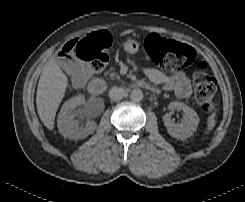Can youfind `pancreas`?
<instances>
[{
    "mask_svg": "<svg viewBox=\"0 0 245 202\" xmlns=\"http://www.w3.org/2000/svg\"><path fill=\"white\" fill-rule=\"evenodd\" d=\"M108 75H110V77L112 79H120V76L117 73H110L109 71L107 72Z\"/></svg>",
    "mask_w": 245,
    "mask_h": 202,
    "instance_id": "pancreas-1",
    "label": "pancreas"
}]
</instances>
